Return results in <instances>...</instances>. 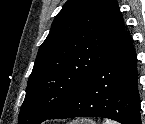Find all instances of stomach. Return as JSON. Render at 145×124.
<instances>
[{"label": "stomach", "mask_w": 145, "mask_h": 124, "mask_svg": "<svg viewBox=\"0 0 145 124\" xmlns=\"http://www.w3.org/2000/svg\"><path fill=\"white\" fill-rule=\"evenodd\" d=\"M83 124H95L93 121L91 120H83L82 121Z\"/></svg>", "instance_id": "obj_1"}]
</instances>
